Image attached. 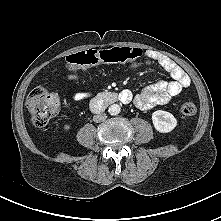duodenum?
I'll use <instances>...</instances> for the list:
<instances>
[{
  "mask_svg": "<svg viewBox=\"0 0 221 221\" xmlns=\"http://www.w3.org/2000/svg\"><path fill=\"white\" fill-rule=\"evenodd\" d=\"M129 103L130 95L128 94H119L116 92H105L96 99H94L91 103V109L95 113L102 112L107 106L116 103Z\"/></svg>",
  "mask_w": 221,
  "mask_h": 221,
  "instance_id": "duodenum-1",
  "label": "duodenum"
}]
</instances>
